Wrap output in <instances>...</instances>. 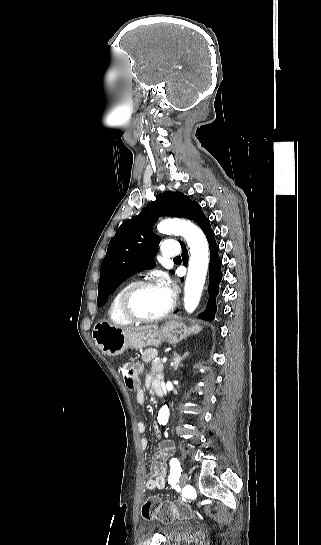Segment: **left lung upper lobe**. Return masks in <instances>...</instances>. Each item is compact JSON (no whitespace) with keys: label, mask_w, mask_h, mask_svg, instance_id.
Here are the masks:
<instances>
[{"label":"left lung upper lobe","mask_w":321,"mask_h":545,"mask_svg":"<svg viewBox=\"0 0 321 545\" xmlns=\"http://www.w3.org/2000/svg\"><path fill=\"white\" fill-rule=\"evenodd\" d=\"M198 207L200 205L189 196L166 191L158 194L156 200L138 215L122 223L110 240L107 254L101 263L98 307L127 278L155 266L153 256L160 242L159 236L152 232L156 220L161 216L191 219ZM170 272L174 273L173 270Z\"/></svg>","instance_id":"5c2ea615"}]
</instances>
